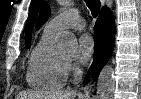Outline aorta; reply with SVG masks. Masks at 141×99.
<instances>
[{
	"instance_id": "aorta-1",
	"label": "aorta",
	"mask_w": 141,
	"mask_h": 99,
	"mask_svg": "<svg viewBox=\"0 0 141 99\" xmlns=\"http://www.w3.org/2000/svg\"><path fill=\"white\" fill-rule=\"evenodd\" d=\"M77 40L72 34H63L58 38L57 49L62 53H73L77 49ZM115 86L113 69L111 66H105L97 80L96 99H112Z\"/></svg>"
}]
</instances>
